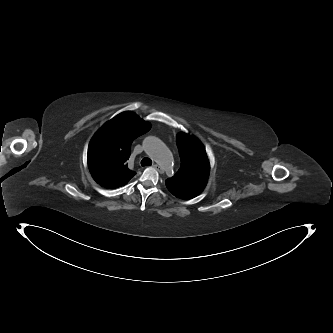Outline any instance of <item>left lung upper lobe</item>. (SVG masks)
<instances>
[{
  "label": "left lung upper lobe",
  "instance_id": "5c2ea615",
  "mask_svg": "<svg viewBox=\"0 0 333 333\" xmlns=\"http://www.w3.org/2000/svg\"><path fill=\"white\" fill-rule=\"evenodd\" d=\"M181 167L177 173L168 178L167 189L181 199H192L204 189L210 171L206 151L194 136L179 133L176 137Z\"/></svg>",
  "mask_w": 333,
  "mask_h": 333
}]
</instances>
